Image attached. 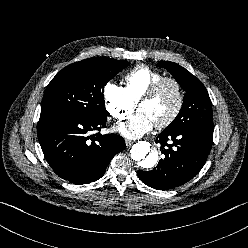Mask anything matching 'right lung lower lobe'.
I'll use <instances>...</instances> for the list:
<instances>
[{
	"instance_id": "1",
	"label": "right lung lower lobe",
	"mask_w": 248,
	"mask_h": 248,
	"mask_svg": "<svg viewBox=\"0 0 248 248\" xmlns=\"http://www.w3.org/2000/svg\"><path fill=\"white\" fill-rule=\"evenodd\" d=\"M107 119H88L64 114H41L38 139L44 156L62 179L86 184L101 178L112 158L125 149L114 133L101 135Z\"/></svg>"
}]
</instances>
